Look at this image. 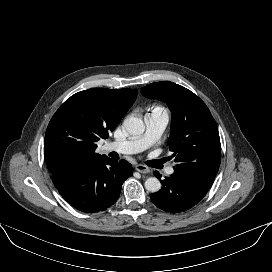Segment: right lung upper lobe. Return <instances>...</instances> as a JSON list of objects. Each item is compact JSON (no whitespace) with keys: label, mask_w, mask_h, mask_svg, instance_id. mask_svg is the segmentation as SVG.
<instances>
[{"label":"right lung upper lobe","mask_w":272,"mask_h":272,"mask_svg":"<svg viewBox=\"0 0 272 272\" xmlns=\"http://www.w3.org/2000/svg\"><path fill=\"white\" fill-rule=\"evenodd\" d=\"M136 96L137 89L93 88L67 99L46 130L44 155L51 174L72 171L106 157L95 152L96 142L109 137Z\"/></svg>","instance_id":"cb5924a9"}]
</instances>
